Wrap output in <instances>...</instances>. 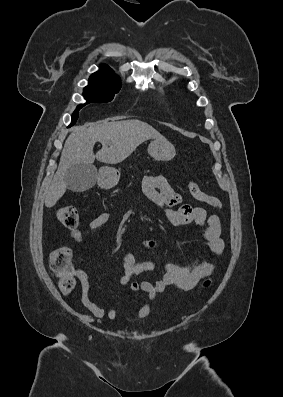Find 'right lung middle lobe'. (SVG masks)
I'll list each match as a JSON object with an SVG mask.
<instances>
[{"label":"right lung middle lobe","instance_id":"1","mask_svg":"<svg viewBox=\"0 0 283 397\" xmlns=\"http://www.w3.org/2000/svg\"><path fill=\"white\" fill-rule=\"evenodd\" d=\"M120 81H88V86L84 88L83 96L86 100L85 104L92 102H110L115 94L121 89ZM85 104L79 105L73 112L71 125H74L78 119L80 108Z\"/></svg>","mask_w":283,"mask_h":397}]
</instances>
